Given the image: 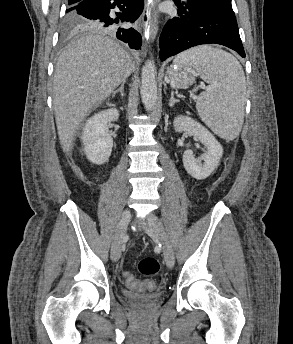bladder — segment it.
<instances>
[{
  "label": "bladder",
  "instance_id": "obj_1",
  "mask_svg": "<svg viewBox=\"0 0 293 344\" xmlns=\"http://www.w3.org/2000/svg\"><path fill=\"white\" fill-rule=\"evenodd\" d=\"M122 295L125 299L129 301L140 302V303H145V304H155L162 298V295L158 293L137 294L135 292L128 291V290H124L122 292Z\"/></svg>",
  "mask_w": 293,
  "mask_h": 344
}]
</instances>
